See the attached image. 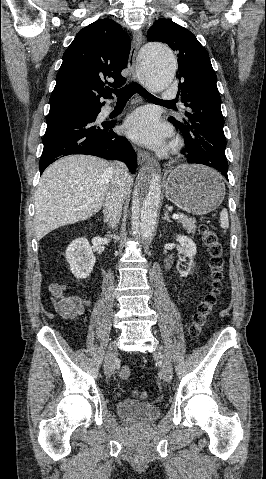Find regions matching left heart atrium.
Listing matches in <instances>:
<instances>
[{"label": "left heart atrium", "mask_w": 266, "mask_h": 479, "mask_svg": "<svg viewBox=\"0 0 266 479\" xmlns=\"http://www.w3.org/2000/svg\"><path fill=\"white\" fill-rule=\"evenodd\" d=\"M124 128L132 139L154 146L162 144L169 134L168 128L160 124L158 117L148 109H140L130 115Z\"/></svg>", "instance_id": "left-heart-atrium-1"}]
</instances>
